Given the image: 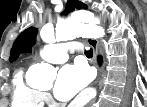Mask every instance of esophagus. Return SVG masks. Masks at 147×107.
Returning a JSON list of instances; mask_svg holds the SVG:
<instances>
[{"label": "esophagus", "mask_w": 147, "mask_h": 107, "mask_svg": "<svg viewBox=\"0 0 147 107\" xmlns=\"http://www.w3.org/2000/svg\"><path fill=\"white\" fill-rule=\"evenodd\" d=\"M86 41H87L88 45H90V47L93 49L95 56H97L98 51H99L98 40L93 39V38H87ZM100 76H101V70H99V72H98L96 82L100 79Z\"/></svg>", "instance_id": "esophagus-1"}]
</instances>
